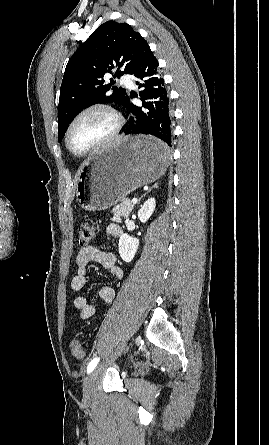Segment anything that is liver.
<instances>
[{"instance_id":"obj_1","label":"liver","mask_w":269,"mask_h":445,"mask_svg":"<svg viewBox=\"0 0 269 445\" xmlns=\"http://www.w3.org/2000/svg\"><path fill=\"white\" fill-rule=\"evenodd\" d=\"M123 138H119L117 141L122 140Z\"/></svg>"}]
</instances>
